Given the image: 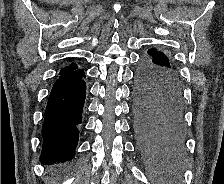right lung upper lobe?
<instances>
[{
	"mask_svg": "<svg viewBox=\"0 0 224 184\" xmlns=\"http://www.w3.org/2000/svg\"><path fill=\"white\" fill-rule=\"evenodd\" d=\"M72 67H76V65L74 63H72L70 66H67V67H65L63 69H68V68H72Z\"/></svg>",
	"mask_w": 224,
	"mask_h": 184,
	"instance_id": "right-lung-upper-lobe-1",
	"label": "right lung upper lobe"
}]
</instances>
